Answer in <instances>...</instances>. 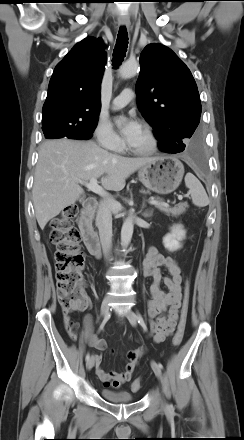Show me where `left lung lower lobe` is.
I'll return each instance as SVG.
<instances>
[{
	"label": "left lung lower lobe",
	"instance_id": "left-lung-lower-lobe-1",
	"mask_svg": "<svg viewBox=\"0 0 244 440\" xmlns=\"http://www.w3.org/2000/svg\"><path fill=\"white\" fill-rule=\"evenodd\" d=\"M185 148L187 149L188 146H186ZM184 150H185V149L182 148L181 151H178V152L176 151V152H174V153H179V152H182V151H184ZM167 153H172V152H167ZM174 153H173V154H174ZM194 159L197 161L199 167L203 168V162H202V160H201L196 154H195Z\"/></svg>",
	"mask_w": 244,
	"mask_h": 440
}]
</instances>
